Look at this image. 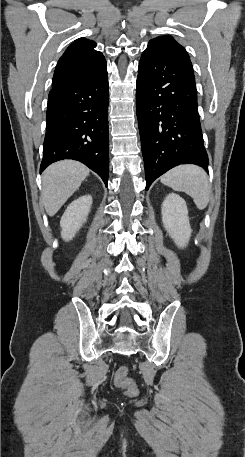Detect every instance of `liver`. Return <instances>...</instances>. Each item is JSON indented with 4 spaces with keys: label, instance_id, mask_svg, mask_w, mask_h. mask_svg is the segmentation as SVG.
Returning a JSON list of instances; mask_svg holds the SVG:
<instances>
[{
    "label": "liver",
    "instance_id": "6515ba94",
    "mask_svg": "<svg viewBox=\"0 0 245 457\" xmlns=\"http://www.w3.org/2000/svg\"><path fill=\"white\" fill-rule=\"evenodd\" d=\"M88 174L89 168L78 160H59L44 170L41 198L49 216L56 214Z\"/></svg>",
    "mask_w": 245,
    "mask_h": 457
}]
</instances>
